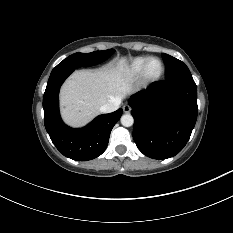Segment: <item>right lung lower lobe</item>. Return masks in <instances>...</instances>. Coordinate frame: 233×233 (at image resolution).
<instances>
[{"mask_svg": "<svg viewBox=\"0 0 233 233\" xmlns=\"http://www.w3.org/2000/svg\"><path fill=\"white\" fill-rule=\"evenodd\" d=\"M74 69L52 71L43 97L44 124L53 144L64 156L87 161L101 155L109 141L112 128L122 115V109L100 115L81 129L65 125L59 114V89Z\"/></svg>", "mask_w": 233, "mask_h": 233, "instance_id": "98d812e1", "label": "right lung lower lobe"}]
</instances>
